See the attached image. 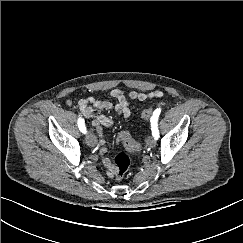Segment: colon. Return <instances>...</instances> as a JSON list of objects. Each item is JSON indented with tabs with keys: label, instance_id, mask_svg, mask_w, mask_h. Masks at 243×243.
Instances as JSON below:
<instances>
[{
	"label": "colon",
	"instance_id": "1",
	"mask_svg": "<svg viewBox=\"0 0 243 243\" xmlns=\"http://www.w3.org/2000/svg\"><path fill=\"white\" fill-rule=\"evenodd\" d=\"M159 104L152 106L148 109H145L141 116L143 119H149L153 114L155 107L159 106ZM119 142L124 145V147L130 152H138L141 150V145L135 142L128 132H121L118 138ZM130 166V158L125 153H119L116 155L113 163L114 168V177L117 180H122L126 175Z\"/></svg>",
	"mask_w": 243,
	"mask_h": 243
}]
</instances>
